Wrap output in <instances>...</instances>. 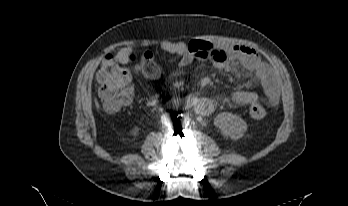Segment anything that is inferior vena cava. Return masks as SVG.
Segmentation results:
<instances>
[{"instance_id":"602c4592","label":"inferior vena cava","mask_w":348,"mask_h":206,"mask_svg":"<svg viewBox=\"0 0 348 206\" xmlns=\"http://www.w3.org/2000/svg\"><path fill=\"white\" fill-rule=\"evenodd\" d=\"M161 122H162L163 124H169V123L171 122V116H170V114H169V113L163 114L162 117H161Z\"/></svg>"}]
</instances>
